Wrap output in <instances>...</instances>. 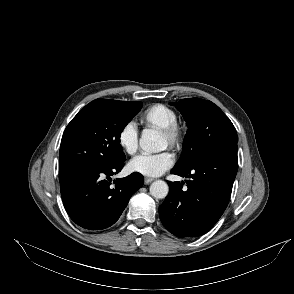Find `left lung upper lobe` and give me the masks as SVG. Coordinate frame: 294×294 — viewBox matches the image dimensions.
<instances>
[{
  "label": "left lung upper lobe",
  "mask_w": 294,
  "mask_h": 294,
  "mask_svg": "<svg viewBox=\"0 0 294 294\" xmlns=\"http://www.w3.org/2000/svg\"><path fill=\"white\" fill-rule=\"evenodd\" d=\"M175 105L188 127L182 154L175 169L190 168L221 145L237 144L238 136L234 125L211 101L200 98L182 99Z\"/></svg>",
  "instance_id": "left-lung-upper-lobe-1"
}]
</instances>
